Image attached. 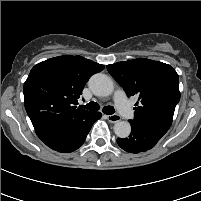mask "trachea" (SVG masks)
I'll return each mask as SVG.
<instances>
[{
	"label": "trachea",
	"mask_w": 201,
	"mask_h": 201,
	"mask_svg": "<svg viewBox=\"0 0 201 201\" xmlns=\"http://www.w3.org/2000/svg\"><path fill=\"white\" fill-rule=\"evenodd\" d=\"M85 109L91 110V111H97L99 110L100 106L98 105V103L92 101L88 104H86L84 106ZM103 113L107 114V115H112L115 112V109L113 106H105L102 109Z\"/></svg>",
	"instance_id": "obj_1"
}]
</instances>
